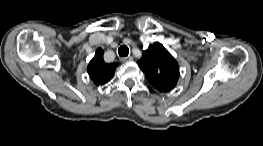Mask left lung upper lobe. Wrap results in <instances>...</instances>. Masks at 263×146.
<instances>
[{
  "label": "left lung upper lobe",
  "instance_id": "obj_1",
  "mask_svg": "<svg viewBox=\"0 0 263 146\" xmlns=\"http://www.w3.org/2000/svg\"><path fill=\"white\" fill-rule=\"evenodd\" d=\"M138 66L145 73L148 81L161 92L171 91L179 78V66L174 57L155 42L143 51Z\"/></svg>",
  "mask_w": 263,
  "mask_h": 146
}]
</instances>
